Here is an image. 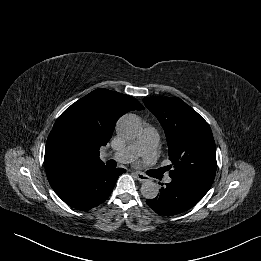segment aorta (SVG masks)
<instances>
[{
  "label": "aorta",
  "instance_id": "obj_1",
  "mask_svg": "<svg viewBox=\"0 0 261 261\" xmlns=\"http://www.w3.org/2000/svg\"><path fill=\"white\" fill-rule=\"evenodd\" d=\"M142 129L139 118L135 115H125L120 118L117 126L118 133L126 140L138 137ZM141 194L146 199H154L159 193V186L152 180L143 182L140 188Z\"/></svg>",
  "mask_w": 261,
  "mask_h": 261
}]
</instances>
